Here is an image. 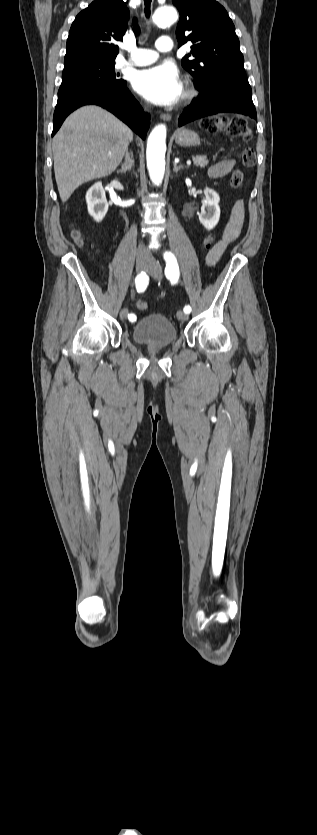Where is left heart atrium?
<instances>
[{
	"instance_id": "39dd6f15",
	"label": "left heart atrium",
	"mask_w": 317,
	"mask_h": 835,
	"mask_svg": "<svg viewBox=\"0 0 317 835\" xmlns=\"http://www.w3.org/2000/svg\"><path fill=\"white\" fill-rule=\"evenodd\" d=\"M135 90L157 105H171L183 91L177 69L170 63L139 71L134 78Z\"/></svg>"
}]
</instances>
